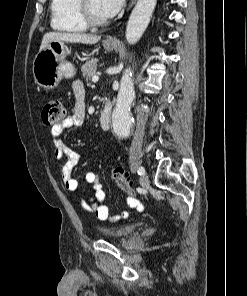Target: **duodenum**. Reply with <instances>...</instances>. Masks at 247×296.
I'll use <instances>...</instances> for the list:
<instances>
[{
    "label": "duodenum",
    "mask_w": 247,
    "mask_h": 296,
    "mask_svg": "<svg viewBox=\"0 0 247 296\" xmlns=\"http://www.w3.org/2000/svg\"><path fill=\"white\" fill-rule=\"evenodd\" d=\"M112 103L106 99L103 103L102 110L99 115V123L104 131H109L111 127Z\"/></svg>",
    "instance_id": "obj_1"
}]
</instances>
